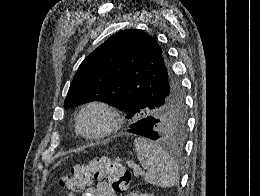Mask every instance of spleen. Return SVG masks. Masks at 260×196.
Masks as SVG:
<instances>
[{"mask_svg": "<svg viewBox=\"0 0 260 196\" xmlns=\"http://www.w3.org/2000/svg\"><path fill=\"white\" fill-rule=\"evenodd\" d=\"M134 146L139 164L147 170L144 174L145 182L160 188H172L177 184L178 166L163 148L145 138H135Z\"/></svg>", "mask_w": 260, "mask_h": 196, "instance_id": "obj_1", "label": "spleen"}]
</instances>
